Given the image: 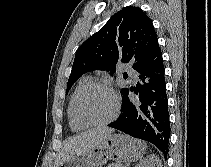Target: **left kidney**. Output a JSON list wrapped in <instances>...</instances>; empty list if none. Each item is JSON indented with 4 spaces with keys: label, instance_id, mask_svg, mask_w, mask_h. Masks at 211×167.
<instances>
[{
    "label": "left kidney",
    "instance_id": "left-kidney-1",
    "mask_svg": "<svg viewBox=\"0 0 211 167\" xmlns=\"http://www.w3.org/2000/svg\"><path fill=\"white\" fill-rule=\"evenodd\" d=\"M136 167H162V164L159 157L152 154L141 160Z\"/></svg>",
    "mask_w": 211,
    "mask_h": 167
}]
</instances>
